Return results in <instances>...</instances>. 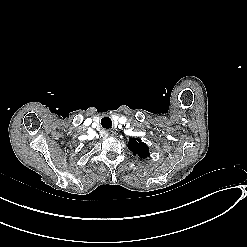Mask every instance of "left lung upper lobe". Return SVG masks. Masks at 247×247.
<instances>
[{"label": "left lung upper lobe", "instance_id": "left-lung-upper-lobe-1", "mask_svg": "<svg viewBox=\"0 0 247 247\" xmlns=\"http://www.w3.org/2000/svg\"><path fill=\"white\" fill-rule=\"evenodd\" d=\"M128 148L134 155H138L142 159H145L150 155L148 146L137 138H131L129 140Z\"/></svg>", "mask_w": 247, "mask_h": 247}]
</instances>
